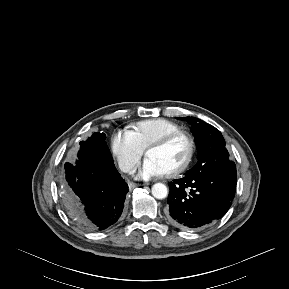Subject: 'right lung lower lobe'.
I'll list each match as a JSON object with an SVG mask.
<instances>
[{
    "label": "right lung lower lobe",
    "mask_w": 289,
    "mask_h": 289,
    "mask_svg": "<svg viewBox=\"0 0 289 289\" xmlns=\"http://www.w3.org/2000/svg\"><path fill=\"white\" fill-rule=\"evenodd\" d=\"M68 206L79 224L104 230L120 218L128 185L113 164L99 155L84 153L64 177Z\"/></svg>",
    "instance_id": "1"
}]
</instances>
